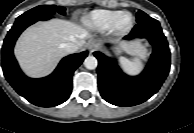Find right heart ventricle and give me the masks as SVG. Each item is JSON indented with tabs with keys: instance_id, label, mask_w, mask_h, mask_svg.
Wrapping results in <instances>:
<instances>
[{
	"instance_id": "1",
	"label": "right heart ventricle",
	"mask_w": 194,
	"mask_h": 133,
	"mask_svg": "<svg viewBox=\"0 0 194 133\" xmlns=\"http://www.w3.org/2000/svg\"><path fill=\"white\" fill-rule=\"evenodd\" d=\"M119 12V10L96 9L85 17L84 22L95 31L106 32L110 30L112 20Z\"/></svg>"
}]
</instances>
